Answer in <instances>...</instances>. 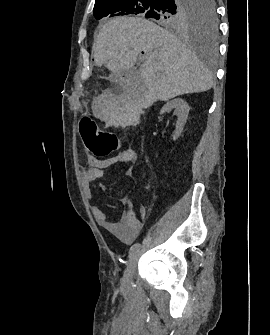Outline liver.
I'll list each match as a JSON object with an SVG mask.
<instances>
[{
  "mask_svg": "<svg viewBox=\"0 0 270 335\" xmlns=\"http://www.w3.org/2000/svg\"><path fill=\"white\" fill-rule=\"evenodd\" d=\"M140 52L146 56L140 88L148 104L212 88L210 72L186 44L139 16H117L106 22L98 32L93 58L96 66L120 74L136 70Z\"/></svg>",
  "mask_w": 270,
  "mask_h": 335,
  "instance_id": "obj_1",
  "label": "liver"
}]
</instances>
